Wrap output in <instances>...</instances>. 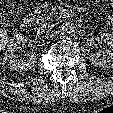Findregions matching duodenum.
Instances as JSON below:
<instances>
[{
  "label": "duodenum",
  "mask_w": 113,
  "mask_h": 113,
  "mask_svg": "<svg viewBox=\"0 0 113 113\" xmlns=\"http://www.w3.org/2000/svg\"><path fill=\"white\" fill-rule=\"evenodd\" d=\"M60 17L62 19H75L76 14L72 9L64 8L60 12ZM32 19L30 16H24L20 21V27L24 30L28 29L31 26Z\"/></svg>",
  "instance_id": "410a0bca"
}]
</instances>
